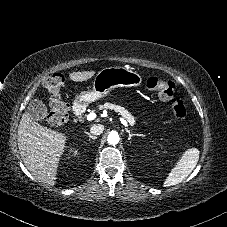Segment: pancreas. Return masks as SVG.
<instances>
[{
  "mask_svg": "<svg viewBox=\"0 0 227 227\" xmlns=\"http://www.w3.org/2000/svg\"><path fill=\"white\" fill-rule=\"evenodd\" d=\"M99 109L115 110L116 112H119L123 116V118L128 121V123L131 126L135 125L134 117L127 110H125L123 107H121L119 105H115V104H111V103H105L104 105L99 106Z\"/></svg>",
  "mask_w": 227,
  "mask_h": 227,
  "instance_id": "obj_1",
  "label": "pancreas"
}]
</instances>
